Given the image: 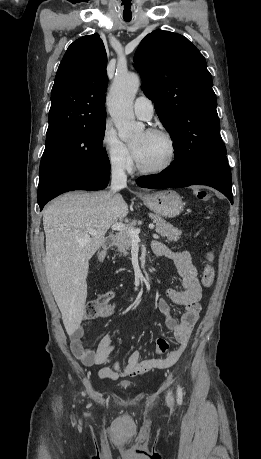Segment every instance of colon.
Wrapping results in <instances>:
<instances>
[{"instance_id":"colon-1","label":"colon","mask_w":261,"mask_h":459,"mask_svg":"<svg viewBox=\"0 0 261 459\" xmlns=\"http://www.w3.org/2000/svg\"><path fill=\"white\" fill-rule=\"evenodd\" d=\"M197 197L202 200L209 199L210 197H214L215 191L214 188H197L196 191ZM213 259L214 256L212 253H208L206 257V265L203 269L201 283L203 287L209 288L214 281L215 278V269L213 267ZM99 261H103V257L100 256L98 259ZM112 300V295L110 292H106L103 294L98 295L97 297L88 301L85 309V318L86 319H94L96 318L101 309L106 307L110 301Z\"/></svg>"}]
</instances>
